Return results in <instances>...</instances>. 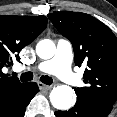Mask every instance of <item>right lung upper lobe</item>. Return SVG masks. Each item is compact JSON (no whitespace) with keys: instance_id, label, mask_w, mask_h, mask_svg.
<instances>
[{"instance_id":"cb5924a9","label":"right lung upper lobe","mask_w":117,"mask_h":117,"mask_svg":"<svg viewBox=\"0 0 117 117\" xmlns=\"http://www.w3.org/2000/svg\"><path fill=\"white\" fill-rule=\"evenodd\" d=\"M47 26L45 16L0 15V107L8 103L26 83L2 72L3 67L18 61L19 52L30 44Z\"/></svg>"}]
</instances>
